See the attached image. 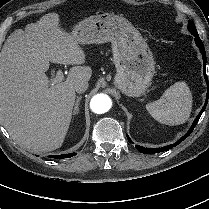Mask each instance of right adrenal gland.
<instances>
[{"instance_id":"obj_1","label":"right adrenal gland","mask_w":209,"mask_h":209,"mask_svg":"<svg viewBox=\"0 0 209 209\" xmlns=\"http://www.w3.org/2000/svg\"><path fill=\"white\" fill-rule=\"evenodd\" d=\"M82 99V96L77 97L76 101H75V105H74V109H73V115L78 114L79 112V103Z\"/></svg>"}]
</instances>
